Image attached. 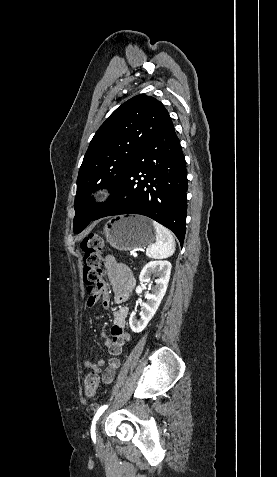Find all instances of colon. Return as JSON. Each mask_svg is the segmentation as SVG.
<instances>
[{
  "label": "colon",
  "mask_w": 277,
  "mask_h": 477,
  "mask_svg": "<svg viewBox=\"0 0 277 477\" xmlns=\"http://www.w3.org/2000/svg\"><path fill=\"white\" fill-rule=\"evenodd\" d=\"M80 247L83 252V280L87 287L90 297H97L102 286V254L106 248L104 239L95 233L85 236ZM99 378L96 373H90L85 379V395L88 398L94 397L97 392Z\"/></svg>",
  "instance_id": "colon-1"
}]
</instances>
